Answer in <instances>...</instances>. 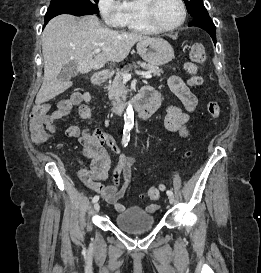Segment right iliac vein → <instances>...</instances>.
<instances>
[{
	"mask_svg": "<svg viewBox=\"0 0 261 273\" xmlns=\"http://www.w3.org/2000/svg\"><path fill=\"white\" fill-rule=\"evenodd\" d=\"M99 209H100V204L97 202V203H95V205H94V210H95L96 212H98Z\"/></svg>",
	"mask_w": 261,
	"mask_h": 273,
	"instance_id": "1",
	"label": "right iliac vein"
}]
</instances>
